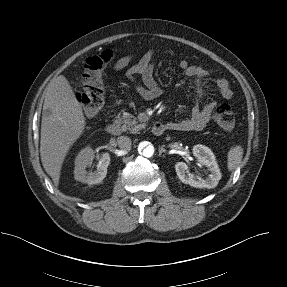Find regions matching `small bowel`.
<instances>
[{
  "label": "small bowel",
  "mask_w": 287,
  "mask_h": 287,
  "mask_svg": "<svg viewBox=\"0 0 287 287\" xmlns=\"http://www.w3.org/2000/svg\"><path fill=\"white\" fill-rule=\"evenodd\" d=\"M154 55V49H149L133 65L131 63L134 61L135 56L132 54L121 57L114 65V69L117 71L127 68L126 76L135 83L136 91L145 100H153L159 97L162 92L161 87L154 78ZM178 66L184 76L196 80L198 98L188 118L168 122L165 126L167 129L175 131L201 130L210 122L213 110L217 105L212 100L202 104L206 95L202 82L210 75V71L201 66L190 64L185 59L179 60ZM216 86L223 99L229 100L232 98L233 92L227 79L217 78Z\"/></svg>",
  "instance_id": "small-bowel-1"
}]
</instances>
